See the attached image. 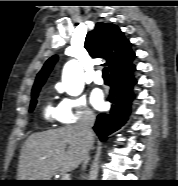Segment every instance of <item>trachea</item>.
<instances>
[{
  "instance_id": "trachea-1",
  "label": "trachea",
  "mask_w": 178,
  "mask_h": 186,
  "mask_svg": "<svg viewBox=\"0 0 178 186\" xmlns=\"http://www.w3.org/2000/svg\"><path fill=\"white\" fill-rule=\"evenodd\" d=\"M103 73V78H108V69L105 67L102 71Z\"/></svg>"
}]
</instances>
